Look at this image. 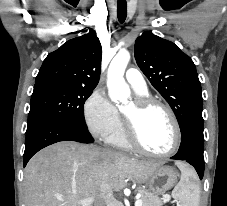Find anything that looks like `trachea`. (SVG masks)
Segmentation results:
<instances>
[{"label": "trachea", "mask_w": 227, "mask_h": 206, "mask_svg": "<svg viewBox=\"0 0 227 206\" xmlns=\"http://www.w3.org/2000/svg\"><path fill=\"white\" fill-rule=\"evenodd\" d=\"M117 16L120 23H123L127 16V4L125 0H119L117 4Z\"/></svg>", "instance_id": "1"}]
</instances>
